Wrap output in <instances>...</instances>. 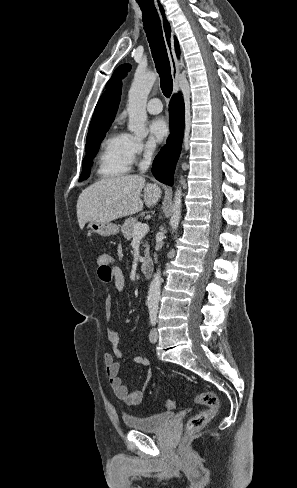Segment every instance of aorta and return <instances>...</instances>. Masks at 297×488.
<instances>
[{
    "label": "aorta",
    "instance_id": "aorta-1",
    "mask_svg": "<svg viewBox=\"0 0 297 488\" xmlns=\"http://www.w3.org/2000/svg\"><path fill=\"white\" fill-rule=\"evenodd\" d=\"M157 79L156 73L137 71L134 76V81L131 85L128 94L127 111L129 114L128 129L137 136H144L146 134V103L148 95ZM181 202L182 191L177 188L173 201V214L170 220V225L173 231H176L181 218ZM161 271L158 270L150 283L147 305L148 307H157L160 299L161 291Z\"/></svg>",
    "mask_w": 297,
    "mask_h": 488
}]
</instances>
